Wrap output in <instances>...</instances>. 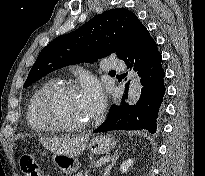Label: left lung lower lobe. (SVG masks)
Segmentation results:
<instances>
[{
	"mask_svg": "<svg viewBox=\"0 0 205 176\" xmlns=\"http://www.w3.org/2000/svg\"><path fill=\"white\" fill-rule=\"evenodd\" d=\"M120 59L128 68L134 66V70L138 71L143 86L140 99L133 106L125 102L128 92L127 84L122 101L118 105L111 106L107 120L94 132L146 129L150 133H155L156 121L165 94V73L157 44L144 25L137 30Z\"/></svg>",
	"mask_w": 205,
	"mask_h": 176,
	"instance_id": "1",
	"label": "left lung lower lobe"
}]
</instances>
